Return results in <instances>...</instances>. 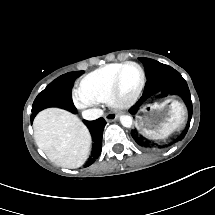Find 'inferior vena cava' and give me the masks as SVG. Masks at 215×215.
Instances as JSON below:
<instances>
[{
    "label": "inferior vena cava",
    "instance_id": "1",
    "mask_svg": "<svg viewBox=\"0 0 215 215\" xmlns=\"http://www.w3.org/2000/svg\"><path fill=\"white\" fill-rule=\"evenodd\" d=\"M103 110L101 108H89L82 111V116L85 120H96L101 117Z\"/></svg>",
    "mask_w": 215,
    "mask_h": 215
}]
</instances>
